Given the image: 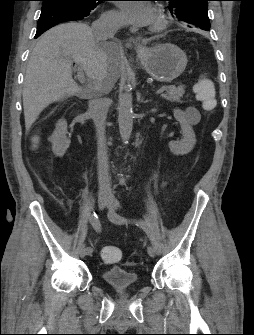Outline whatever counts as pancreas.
I'll return each instance as SVG.
<instances>
[{"mask_svg":"<svg viewBox=\"0 0 254 335\" xmlns=\"http://www.w3.org/2000/svg\"><path fill=\"white\" fill-rule=\"evenodd\" d=\"M165 93H163L161 96L162 98L170 101V102H182V98L185 94V86L184 85H170L165 86Z\"/></svg>","mask_w":254,"mask_h":335,"instance_id":"obj_1","label":"pancreas"}]
</instances>
